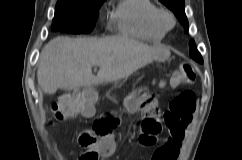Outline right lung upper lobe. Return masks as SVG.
<instances>
[{
    "instance_id": "obj_1",
    "label": "right lung upper lobe",
    "mask_w": 242,
    "mask_h": 160,
    "mask_svg": "<svg viewBox=\"0 0 242 160\" xmlns=\"http://www.w3.org/2000/svg\"><path fill=\"white\" fill-rule=\"evenodd\" d=\"M75 1H86V0H75Z\"/></svg>"
}]
</instances>
